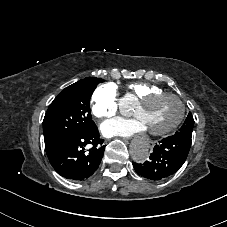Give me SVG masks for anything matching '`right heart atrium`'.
<instances>
[{"instance_id":"1","label":"right heart atrium","mask_w":227,"mask_h":227,"mask_svg":"<svg viewBox=\"0 0 227 227\" xmlns=\"http://www.w3.org/2000/svg\"><path fill=\"white\" fill-rule=\"evenodd\" d=\"M118 92L114 84L99 85L92 95V113L100 119H111L116 115Z\"/></svg>"}]
</instances>
